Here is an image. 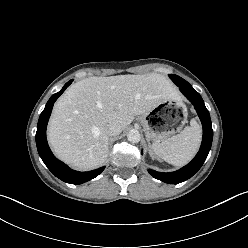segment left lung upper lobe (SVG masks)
Listing matches in <instances>:
<instances>
[{"instance_id": "left-lung-upper-lobe-1", "label": "left lung upper lobe", "mask_w": 248, "mask_h": 248, "mask_svg": "<svg viewBox=\"0 0 248 248\" xmlns=\"http://www.w3.org/2000/svg\"><path fill=\"white\" fill-rule=\"evenodd\" d=\"M169 77L172 79V81L178 86L183 88H189L192 87L187 81H185L183 78L170 74Z\"/></svg>"}]
</instances>
